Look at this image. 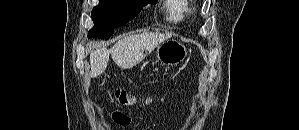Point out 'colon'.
<instances>
[{
  "label": "colon",
  "mask_w": 299,
  "mask_h": 130,
  "mask_svg": "<svg viewBox=\"0 0 299 130\" xmlns=\"http://www.w3.org/2000/svg\"><path fill=\"white\" fill-rule=\"evenodd\" d=\"M116 101L121 105H131L137 102V98L132 94L128 93L125 90H116L115 91ZM152 102L151 99H146L144 103L148 104Z\"/></svg>",
  "instance_id": "obj_1"
}]
</instances>
